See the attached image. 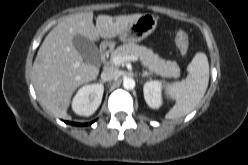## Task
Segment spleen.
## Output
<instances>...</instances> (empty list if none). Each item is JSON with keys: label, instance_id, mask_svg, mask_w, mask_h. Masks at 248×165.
Segmentation results:
<instances>
[{"label": "spleen", "instance_id": "obj_1", "mask_svg": "<svg viewBox=\"0 0 248 165\" xmlns=\"http://www.w3.org/2000/svg\"><path fill=\"white\" fill-rule=\"evenodd\" d=\"M189 75L181 82L166 86L168 99L175 100V105L165 115L166 119H178L196 108L208 87L209 63L205 53L198 52L187 68Z\"/></svg>", "mask_w": 248, "mask_h": 165}]
</instances>
